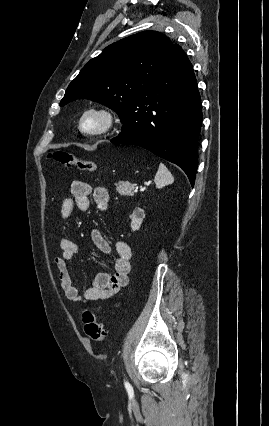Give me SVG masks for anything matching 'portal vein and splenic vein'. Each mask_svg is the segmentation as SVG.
<instances>
[{"mask_svg": "<svg viewBox=\"0 0 269 426\" xmlns=\"http://www.w3.org/2000/svg\"><path fill=\"white\" fill-rule=\"evenodd\" d=\"M134 191H135V192H137V191H138V187H136V188L134 189Z\"/></svg>", "mask_w": 269, "mask_h": 426, "instance_id": "1", "label": "portal vein and splenic vein"}]
</instances>
